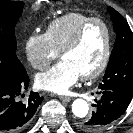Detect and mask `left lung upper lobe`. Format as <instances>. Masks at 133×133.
Returning <instances> with one entry per match:
<instances>
[{"mask_svg": "<svg viewBox=\"0 0 133 133\" xmlns=\"http://www.w3.org/2000/svg\"><path fill=\"white\" fill-rule=\"evenodd\" d=\"M117 34L100 90L119 91L133 97V33L127 21L108 7Z\"/></svg>", "mask_w": 133, "mask_h": 133, "instance_id": "obj_1", "label": "left lung upper lobe"}]
</instances>
